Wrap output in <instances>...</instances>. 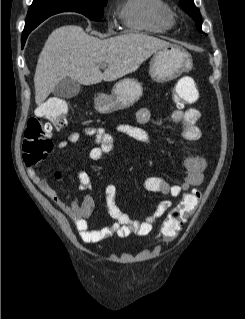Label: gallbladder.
I'll list each match as a JSON object with an SVG mask.
<instances>
[{
	"label": "gallbladder",
	"mask_w": 245,
	"mask_h": 319,
	"mask_svg": "<svg viewBox=\"0 0 245 319\" xmlns=\"http://www.w3.org/2000/svg\"><path fill=\"white\" fill-rule=\"evenodd\" d=\"M80 83L66 77L62 79L53 89V95L60 98H72L80 92Z\"/></svg>",
	"instance_id": "1"
}]
</instances>
